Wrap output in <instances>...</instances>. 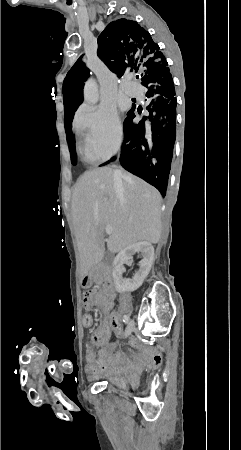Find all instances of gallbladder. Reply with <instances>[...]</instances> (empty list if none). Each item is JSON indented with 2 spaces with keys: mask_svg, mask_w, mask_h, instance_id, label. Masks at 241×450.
<instances>
[{
  "mask_svg": "<svg viewBox=\"0 0 241 450\" xmlns=\"http://www.w3.org/2000/svg\"><path fill=\"white\" fill-rule=\"evenodd\" d=\"M110 258H111V254H105V256H104L105 264H106V262H108V260H110Z\"/></svg>",
  "mask_w": 241,
  "mask_h": 450,
  "instance_id": "gallbladder-1",
  "label": "gallbladder"
}]
</instances>
